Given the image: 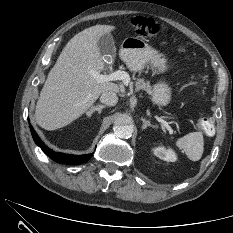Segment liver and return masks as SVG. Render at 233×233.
<instances>
[{
	"mask_svg": "<svg viewBox=\"0 0 233 233\" xmlns=\"http://www.w3.org/2000/svg\"><path fill=\"white\" fill-rule=\"evenodd\" d=\"M111 25H95L76 34L66 44L48 74L35 111L37 124L45 130L64 127L79 118L106 91L119 92L117 84L98 83L90 71L105 68L98 48Z\"/></svg>",
	"mask_w": 233,
	"mask_h": 233,
	"instance_id": "liver-1",
	"label": "liver"
}]
</instances>
